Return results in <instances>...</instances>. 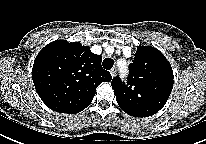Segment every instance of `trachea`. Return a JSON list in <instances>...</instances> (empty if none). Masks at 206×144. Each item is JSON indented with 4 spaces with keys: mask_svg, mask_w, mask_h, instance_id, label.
<instances>
[{
    "mask_svg": "<svg viewBox=\"0 0 206 144\" xmlns=\"http://www.w3.org/2000/svg\"><path fill=\"white\" fill-rule=\"evenodd\" d=\"M102 65L106 70H110L114 65V60L111 58H106L103 60Z\"/></svg>",
    "mask_w": 206,
    "mask_h": 144,
    "instance_id": "3493384b",
    "label": "trachea"
}]
</instances>
